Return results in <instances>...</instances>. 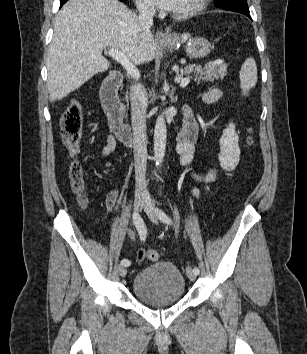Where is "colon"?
<instances>
[{
  "label": "colon",
  "mask_w": 307,
  "mask_h": 354,
  "mask_svg": "<svg viewBox=\"0 0 307 354\" xmlns=\"http://www.w3.org/2000/svg\"><path fill=\"white\" fill-rule=\"evenodd\" d=\"M82 121V108L76 100H72L62 114L61 130L63 143L71 156L68 170L70 182L73 190L80 195L84 190L83 170L76 156L79 153L82 138ZM248 143H253L251 136L248 138ZM82 202H84L83 199ZM137 257L140 261H156L159 259V253L153 249H142Z\"/></svg>",
  "instance_id": "5ec220e1"
}]
</instances>
